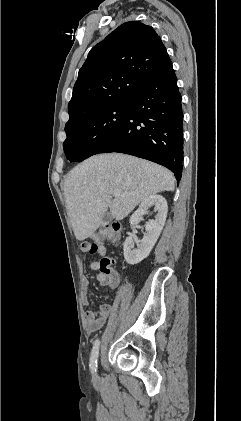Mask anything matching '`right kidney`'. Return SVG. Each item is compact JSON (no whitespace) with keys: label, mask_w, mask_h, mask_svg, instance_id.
I'll use <instances>...</instances> for the list:
<instances>
[{"label":"right kidney","mask_w":241,"mask_h":421,"mask_svg":"<svg viewBox=\"0 0 241 421\" xmlns=\"http://www.w3.org/2000/svg\"><path fill=\"white\" fill-rule=\"evenodd\" d=\"M154 206L157 212L155 219L150 220L146 224V234L140 241L135 235H130L124 242V258L130 265H135L144 260L151 252L160 233L164 227L168 206L165 198L161 195H152L141 202L139 208L130 217V224L134 226L138 223L139 219L147 213V210ZM137 248H134V244Z\"/></svg>","instance_id":"right-kidney-1"}]
</instances>
